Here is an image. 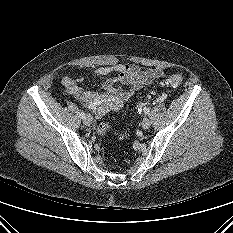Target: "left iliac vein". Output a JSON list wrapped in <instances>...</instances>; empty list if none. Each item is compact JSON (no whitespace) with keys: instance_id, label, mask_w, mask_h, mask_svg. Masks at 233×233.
I'll return each mask as SVG.
<instances>
[{"instance_id":"obj_1","label":"left iliac vein","mask_w":233,"mask_h":233,"mask_svg":"<svg viewBox=\"0 0 233 233\" xmlns=\"http://www.w3.org/2000/svg\"><path fill=\"white\" fill-rule=\"evenodd\" d=\"M151 126V122L148 118H144L142 121L143 129H148Z\"/></svg>"}]
</instances>
